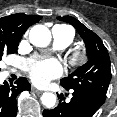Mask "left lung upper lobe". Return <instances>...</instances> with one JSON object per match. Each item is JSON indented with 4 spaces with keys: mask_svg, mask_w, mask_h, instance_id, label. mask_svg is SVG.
Masks as SVG:
<instances>
[{
    "mask_svg": "<svg viewBox=\"0 0 117 117\" xmlns=\"http://www.w3.org/2000/svg\"><path fill=\"white\" fill-rule=\"evenodd\" d=\"M57 19L73 25L86 45L88 62L79 67L60 84L65 89H73L88 94L103 104L111 80L110 58L100 37L85 27L80 21L70 16Z\"/></svg>",
    "mask_w": 117,
    "mask_h": 117,
    "instance_id": "5c2ea615",
    "label": "left lung upper lobe"
}]
</instances>
